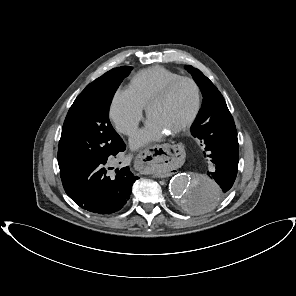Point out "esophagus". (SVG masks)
<instances>
[{
	"instance_id": "1",
	"label": "esophagus",
	"mask_w": 296,
	"mask_h": 296,
	"mask_svg": "<svg viewBox=\"0 0 296 296\" xmlns=\"http://www.w3.org/2000/svg\"><path fill=\"white\" fill-rule=\"evenodd\" d=\"M177 160V151L166 141L158 142L155 146L144 147L135 156L134 169L140 175L154 171L156 166L172 165Z\"/></svg>"
}]
</instances>
